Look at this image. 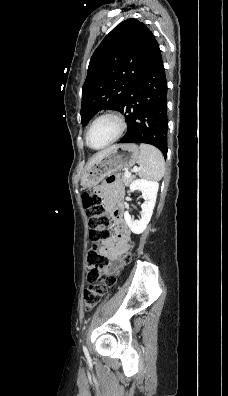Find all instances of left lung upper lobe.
Wrapping results in <instances>:
<instances>
[{"mask_svg": "<svg viewBox=\"0 0 228 396\" xmlns=\"http://www.w3.org/2000/svg\"><path fill=\"white\" fill-rule=\"evenodd\" d=\"M155 42L147 26L134 18L121 22L103 39L82 87V125L102 109L120 110Z\"/></svg>", "mask_w": 228, "mask_h": 396, "instance_id": "5c2ea615", "label": "left lung upper lobe"}]
</instances>
